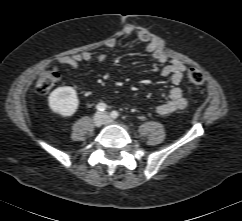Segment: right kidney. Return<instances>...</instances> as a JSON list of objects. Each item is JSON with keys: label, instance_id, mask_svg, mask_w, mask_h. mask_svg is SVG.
Returning <instances> with one entry per match:
<instances>
[{"label": "right kidney", "instance_id": "right-kidney-1", "mask_svg": "<svg viewBox=\"0 0 242 221\" xmlns=\"http://www.w3.org/2000/svg\"><path fill=\"white\" fill-rule=\"evenodd\" d=\"M48 99L50 109L63 117L72 116L78 109L79 100L73 87H58L50 93Z\"/></svg>", "mask_w": 242, "mask_h": 221}]
</instances>
